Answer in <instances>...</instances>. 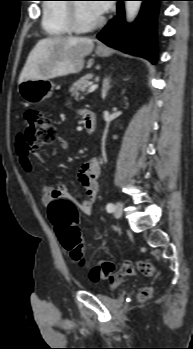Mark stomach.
Here are the masks:
<instances>
[{
    "label": "stomach",
    "mask_w": 193,
    "mask_h": 349,
    "mask_svg": "<svg viewBox=\"0 0 193 349\" xmlns=\"http://www.w3.org/2000/svg\"><path fill=\"white\" fill-rule=\"evenodd\" d=\"M96 54L100 57H108L111 54L109 48H97ZM54 85L45 79H29L18 85V91L22 99L29 104H36L49 98L53 93Z\"/></svg>",
    "instance_id": "0dacf381"
}]
</instances>
